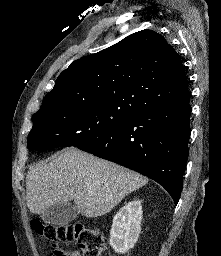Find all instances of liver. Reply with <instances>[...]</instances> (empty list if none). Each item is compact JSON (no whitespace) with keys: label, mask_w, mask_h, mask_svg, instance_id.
Segmentation results:
<instances>
[{"label":"liver","mask_w":221,"mask_h":256,"mask_svg":"<svg viewBox=\"0 0 221 256\" xmlns=\"http://www.w3.org/2000/svg\"><path fill=\"white\" fill-rule=\"evenodd\" d=\"M148 179L125 167L77 148H67L26 176L27 206L42 214L57 203L74 201L78 213L95 218L109 213Z\"/></svg>","instance_id":"1"}]
</instances>
